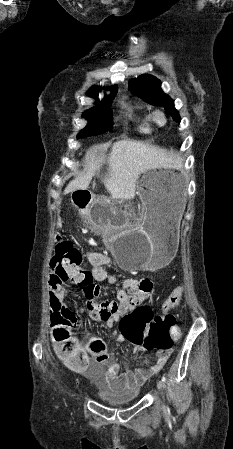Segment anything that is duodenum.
<instances>
[{
	"label": "duodenum",
	"mask_w": 233,
	"mask_h": 449,
	"mask_svg": "<svg viewBox=\"0 0 233 449\" xmlns=\"http://www.w3.org/2000/svg\"><path fill=\"white\" fill-rule=\"evenodd\" d=\"M72 204L74 206H88L90 208L93 204L91 192L85 191L84 188L81 186L78 187L77 190L74 192Z\"/></svg>",
	"instance_id": "obj_1"
}]
</instances>
